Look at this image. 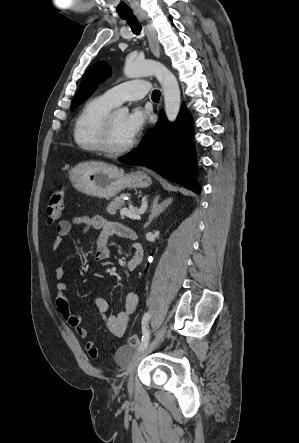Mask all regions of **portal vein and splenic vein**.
<instances>
[{
    "mask_svg": "<svg viewBox=\"0 0 299 443\" xmlns=\"http://www.w3.org/2000/svg\"><path fill=\"white\" fill-rule=\"evenodd\" d=\"M145 210H146L145 207H141L139 210H135L132 207H130L129 209L128 208H122L120 210V215L121 216H127V217H129L131 219H134V220H139L141 218L140 214H143L145 212Z\"/></svg>",
    "mask_w": 299,
    "mask_h": 443,
    "instance_id": "1",
    "label": "portal vein and splenic vein"
}]
</instances>
